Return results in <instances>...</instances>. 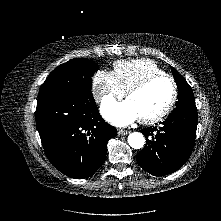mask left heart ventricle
Instances as JSON below:
<instances>
[{
    "label": "left heart ventricle",
    "instance_id": "1",
    "mask_svg": "<svg viewBox=\"0 0 221 221\" xmlns=\"http://www.w3.org/2000/svg\"><path fill=\"white\" fill-rule=\"evenodd\" d=\"M171 96V82L166 78H160L152 82L144 90L130 95L128 100L137 110L139 118H148L161 112Z\"/></svg>",
    "mask_w": 221,
    "mask_h": 221
}]
</instances>
